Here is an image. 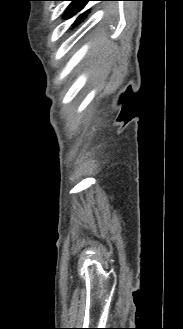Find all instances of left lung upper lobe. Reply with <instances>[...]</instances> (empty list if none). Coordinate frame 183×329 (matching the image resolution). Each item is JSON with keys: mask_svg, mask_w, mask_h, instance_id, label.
Returning a JSON list of instances; mask_svg holds the SVG:
<instances>
[{"mask_svg": "<svg viewBox=\"0 0 183 329\" xmlns=\"http://www.w3.org/2000/svg\"><path fill=\"white\" fill-rule=\"evenodd\" d=\"M66 1H71L70 5L68 6V8L66 9L65 18H70L72 16H74L75 14H77L80 10H82L84 8V6L89 2V1H93V0H66ZM86 13H88V11L84 12L83 14H81L75 21L74 24H78L79 22H81L85 17H86Z\"/></svg>", "mask_w": 183, "mask_h": 329, "instance_id": "left-lung-upper-lobe-1", "label": "left lung upper lobe"}]
</instances>
